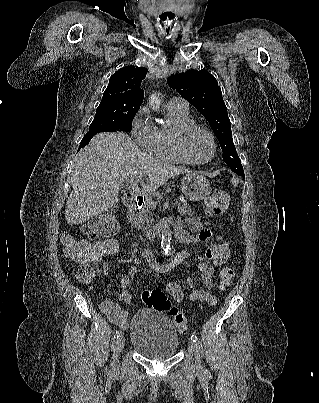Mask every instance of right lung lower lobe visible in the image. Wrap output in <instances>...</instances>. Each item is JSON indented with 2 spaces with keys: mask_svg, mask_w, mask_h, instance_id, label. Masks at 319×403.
I'll list each match as a JSON object with an SVG mask.
<instances>
[{
  "mask_svg": "<svg viewBox=\"0 0 319 403\" xmlns=\"http://www.w3.org/2000/svg\"><path fill=\"white\" fill-rule=\"evenodd\" d=\"M120 130V129H119ZM117 131V129H111V130H94V131H89L86 133V135L83 137V139L80 142V148L84 147L85 145H87L89 143V141L91 140V138L99 133V132H115Z\"/></svg>",
  "mask_w": 319,
  "mask_h": 403,
  "instance_id": "obj_1",
  "label": "right lung lower lobe"
}]
</instances>
